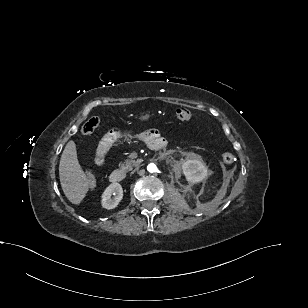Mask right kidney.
I'll return each instance as SVG.
<instances>
[{
  "label": "right kidney",
  "instance_id": "ca27d5eb",
  "mask_svg": "<svg viewBox=\"0 0 308 308\" xmlns=\"http://www.w3.org/2000/svg\"><path fill=\"white\" fill-rule=\"evenodd\" d=\"M111 195L115 197L112 199ZM123 198V189L119 183L110 184L102 194L101 204L105 209H114Z\"/></svg>",
  "mask_w": 308,
  "mask_h": 308
}]
</instances>
